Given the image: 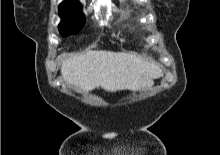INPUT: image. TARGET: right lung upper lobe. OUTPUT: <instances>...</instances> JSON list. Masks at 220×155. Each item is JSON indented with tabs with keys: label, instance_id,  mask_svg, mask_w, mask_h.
Instances as JSON below:
<instances>
[{
	"label": "right lung upper lobe",
	"instance_id": "obj_1",
	"mask_svg": "<svg viewBox=\"0 0 220 155\" xmlns=\"http://www.w3.org/2000/svg\"><path fill=\"white\" fill-rule=\"evenodd\" d=\"M62 3H77V4H80L78 0H64Z\"/></svg>",
	"mask_w": 220,
	"mask_h": 155
}]
</instances>
